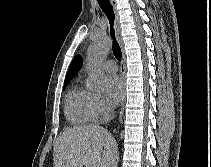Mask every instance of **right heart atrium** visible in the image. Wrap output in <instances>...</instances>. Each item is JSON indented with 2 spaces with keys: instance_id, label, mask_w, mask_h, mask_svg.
Here are the masks:
<instances>
[{
  "instance_id": "obj_1",
  "label": "right heart atrium",
  "mask_w": 211,
  "mask_h": 167,
  "mask_svg": "<svg viewBox=\"0 0 211 167\" xmlns=\"http://www.w3.org/2000/svg\"><path fill=\"white\" fill-rule=\"evenodd\" d=\"M91 110L94 115V120H102L109 112L108 106L105 104L104 100L97 94H91Z\"/></svg>"
}]
</instances>
